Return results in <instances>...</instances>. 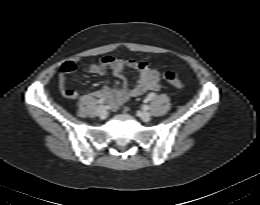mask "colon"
Returning <instances> with one entry per match:
<instances>
[{
  "mask_svg": "<svg viewBox=\"0 0 260 205\" xmlns=\"http://www.w3.org/2000/svg\"><path fill=\"white\" fill-rule=\"evenodd\" d=\"M164 78L171 86L175 88H183V81L177 76V74L171 70L164 71Z\"/></svg>",
  "mask_w": 260,
  "mask_h": 205,
  "instance_id": "obj_1",
  "label": "colon"
}]
</instances>
